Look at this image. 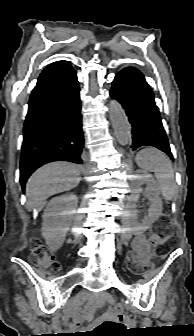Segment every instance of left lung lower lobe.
Listing matches in <instances>:
<instances>
[{"label": "left lung lower lobe", "mask_w": 194, "mask_h": 336, "mask_svg": "<svg viewBox=\"0 0 194 336\" xmlns=\"http://www.w3.org/2000/svg\"><path fill=\"white\" fill-rule=\"evenodd\" d=\"M110 95L128 116L132 149L153 146L173 159L153 92L143 74L134 67L124 68L115 76Z\"/></svg>", "instance_id": "1"}]
</instances>
